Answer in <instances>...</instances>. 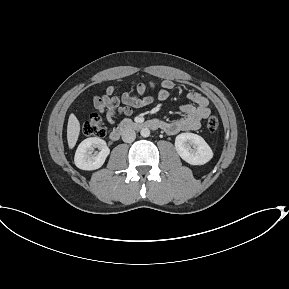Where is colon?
Listing matches in <instances>:
<instances>
[{
  "label": "colon",
  "mask_w": 289,
  "mask_h": 289,
  "mask_svg": "<svg viewBox=\"0 0 289 289\" xmlns=\"http://www.w3.org/2000/svg\"><path fill=\"white\" fill-rule=\"evenodd\" d=\"M207 129L214 132L219 127V119L216 116H210L206 123ZM82 132L85 136L102 137L105 134V128L101 117L92 115L83 125Z\"/></svg>",
  "instance_id": "5ec220e1"
}]
</instances>
